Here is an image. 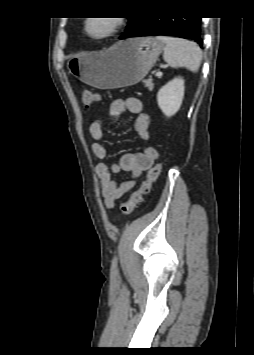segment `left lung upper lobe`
<instances>
[{
    "label": "left lung upper lobe",
    "instance_id": "1",
    "mask_svg": "<svg viewBox=\"0 0 254 355\" xmlns=\"http://www.w3.org/2000/svg\"><path fill=\"white\" fill-rule=\"evenodd\" d=\"M128 19H129V25L127 26V29H126L125 32L129 31L134 26V24L137 21L136 17L135 18L134 17H129Z\"/></svg>",
    "mask_w": 254,
    "mask_h": 355
}]
</instances>
